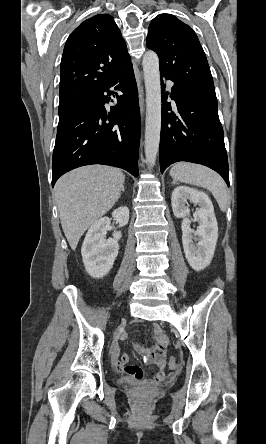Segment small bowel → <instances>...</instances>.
Here are the masks:
<instances>
[{
  "label": "small bowel",
  "mask_w": 266,
  "mask_h": 444,
  "mask_svg": "<svg viewBox=\"0 0 266 444\" xmlns=\"http://www.w3.org/2000/svg\"><path fill=\"white\" fill-rule=\"evenodd\" d=\"M154 341L152 348L143 347L140 344L135 345L136 351L143 357L144 361L149 364H154L157 367V372L151 379H143L144 373L141 367L129 364L128 355L124 354L120 361H115L116 369L127 375L130 379L140 382L144 385L153 386L158 385L165 379V353L167 338L165 333L158 327H154ZM114 350L117 352L118 345H114Z\"/></svg>",
  "instance_id": "obj_1"
}]
</instances>
